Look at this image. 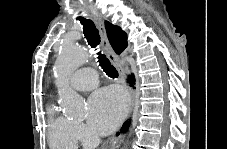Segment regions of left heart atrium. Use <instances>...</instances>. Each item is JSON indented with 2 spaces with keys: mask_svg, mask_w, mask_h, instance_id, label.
Listing matches in <instances>:
<instances>
[{
  "mask_svg": "<svg viewBox=\"0 0 227 149\" xmlns=\"http://www.w3.org/2000/svg\"><path fill=\"white\" fill-rule=\"evenodd\" d=\"M89 107L88 123L92 130L98 134H107L125 115L127 98L120 89L107 87L93 93Z\"/></svg>",
  "mask_w": 227,
  "mask_h": 149,
  "instance_id": "obj_1",
  "label": "left heart atrium"
}]
</instances>
